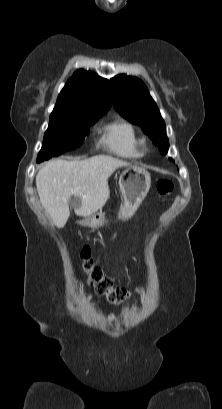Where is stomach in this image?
Listing matches in <instances>:
<instances>
[{
	"instance_id": "obj_1",
	"label": "stomach",
	"mask_w": 222,
	"mask_h": 409,
	"mask_svg": "<svg viewBox=\"0 0 222 409\" xmlns=\"http://www.w3.org/2000/svg\"><path fill=\"white\" fill-rule=\"evenodd\" d=\"M151 186L150 173L139 166L127 167L119 177V188L123 203L118 211V219L126 221L137 211ZM77 223L85 227H97L107 224L103 214L85 217Z\"/></svg>"
}]
</instances>
